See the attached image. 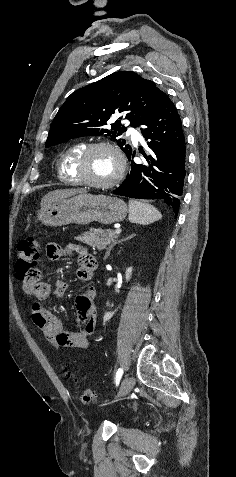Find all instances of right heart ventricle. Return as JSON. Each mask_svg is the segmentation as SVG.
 <instances>
[{
	"label": "right heart ventricle",
	"instance_id": "obj_1",
	"mask_svg": "<svg viewBox=\"0 0 236 477\" xmlns=\"http://www.w3.org/2000/svg\"><path fill=\"white\" fill-rule=\"evenodd\" d=\"M84 144L77 143L65 149L58 161L57 174L59 179L69 185H80L75 173V162Z\"/></svg>",
	"mask_w": 236,
	"mask_h": 477
}]
</instances>
